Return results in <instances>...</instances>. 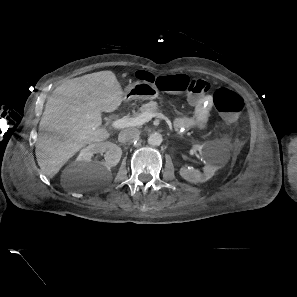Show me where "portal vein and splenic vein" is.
Segmentation results:
<instances>
[{"label":"portal vein and splenic vein","mask_w":297,"mask_h":297,"mask_svg":"<svg viewBox=\"0 0 297 297\" xmlns=\"http://www.w3.org/2000/svg\"><path fill=\"white\" fill-rule=\"evenodd\" d=\"M153 117L165 120L166 117L162 113H149L145 112L132 118H121L114 120L111 126L115 129H122L125 127L141 126L150 121Z\"/></svg>","instance_id":"18ae733b"}]
</instances>
